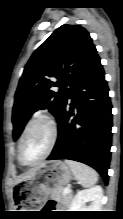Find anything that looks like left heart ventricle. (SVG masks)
<instances>
[{"mask_svg": "<svg viewBox=\"0 0 123 219\" xmlns=\"http://www.w3.org/2000/svg\"><path fill=\"white\" fill-rule=\"evenodd\" d=\"M50 139L48 127L43 123L35 124L26 135L22 154L26 162L32 163L45 153Z\"/></svg>", "mask_w": 123, "mask_h": 219, "instance_id": "left-heart-ventricle-1", "label": "left heart ventricle"}]
</instances>
